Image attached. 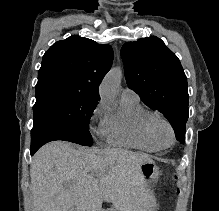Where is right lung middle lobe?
Listing matches in <instances>:
<instances>
[{
	"mask_svg": "<svg viewBox=\"0 0 219 211\" xmlns=\"http://www.w3.org/2000/svg\"><path fill=\"white\" fill-rule=\"evenodd\" d=\"M98 100L62 91L36 94L32 132L57 130L80 138V145L91 146L89 122Z\"/></svg>",
	"mask_w": 219,
	"mask_h": 211,
	"instance_id": "right-lung-middle-lobe-1",
	"label": "right lung middle lobe"
}]
</instances>
